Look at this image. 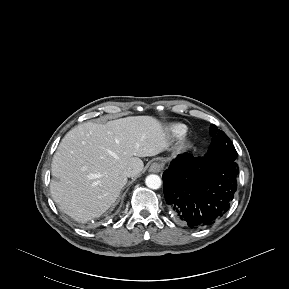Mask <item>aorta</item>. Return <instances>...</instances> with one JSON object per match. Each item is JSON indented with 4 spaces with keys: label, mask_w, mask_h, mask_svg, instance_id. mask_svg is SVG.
Instances as JSON below:
<instances>
[{
    "label": "aorta",
    "mask_w": 289,
    "mask_h": 289,
    "mask_svg": "<svg viewBox=\"0 0 289 289\" xmlns=\"http://www.w3.org/2000/svg\"><path fill=\"white\" fill-rule=\"evenodd\" d=\"M161 178L158 175L151 174L145 179V184L150 189H159L161 187Z\"/></svg>",
    "instance_id": "762f6f07"
}]
</instances>
